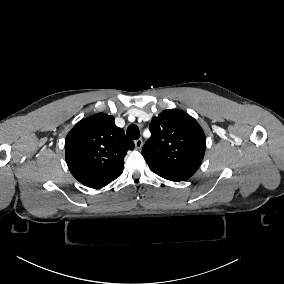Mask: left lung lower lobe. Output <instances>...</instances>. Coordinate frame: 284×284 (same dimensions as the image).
Masks as SVG:
<instances>
[{"label":"left lung lower lobe","instance_id":"0a47b994","mask_svg":"<svg viewBox=\"0 0 284 284\" xmlns=\"http://www.w3.org/2000/svg\"><path fill=\"white\" fill-rule=\"evenodd\" d=\"M168 180H171V179H168ZM171 181H177V180H171Z\"/></svg>","mask_w":284,"mask_h":284}]
</instances>
